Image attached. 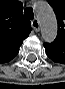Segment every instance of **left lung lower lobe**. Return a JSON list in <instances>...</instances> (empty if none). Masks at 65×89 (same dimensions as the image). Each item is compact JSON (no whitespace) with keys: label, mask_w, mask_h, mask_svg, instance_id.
Segmentation results:
<instances>
[{"label":"left lung lower lobe","mask_w":65,"mask_h":89,"mask_svg":"<svg viewBox=\"0 0 65 89\" xmlns=\"http://www.w3.org/2000/svg\"><path fill=\"white\" fill-rule=\"evenodd\" d=\"M45 52L54 62L65 64V43L54 40L52 43H45Z\"/></svg>","instance_id":"obj_1"}]
</instances>
